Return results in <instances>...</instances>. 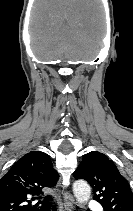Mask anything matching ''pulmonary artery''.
Returning a JSON list of instances; mask_svg holds the SVG:
<instances>
[{
  "instance_id": "pulmonary-artery-1",
  "label": "pulmonary artery",
  "mask_w": 133,
  "mask_h": 211,
  "mask_svg": "<svg viewBox=\"0 0 133 211\" xmlns=\"http://www.w3.org/2000/svg\"><path fill=\"white\" fill-rule=\"evenodd\" d=\"M89 207H90L93 211H102L101 206H100L97 202H94V201H91V202L89 203Z\"/></svg>"
}]
</instances>
